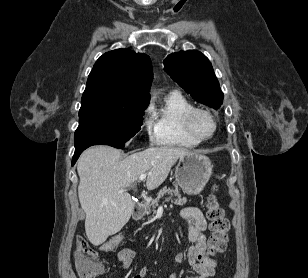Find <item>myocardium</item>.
<instances>
[{"label": "myocardium", "mask_w": 308, "mask_h": 278, "mask_svg": "<svg viewBox=\"0 0 308 278\" xmlns=\"http://www.w3.org/2000/svg\"><path fill=\"white\" fill-rule=\"evenodd\" d=\"M197 113H204L211 119L213 123V130L212 132L207 136H199L195 133L193 127H192V119L195 114ZM182 126L186 134L194 139L197 142H203L211 139L214 134L217 131V120L213 113L209 111L208 109L202 108V107H192L191 109L187 110L183 116H182Z\"/></svg>", "instance_id": "1"}]
</instances>
